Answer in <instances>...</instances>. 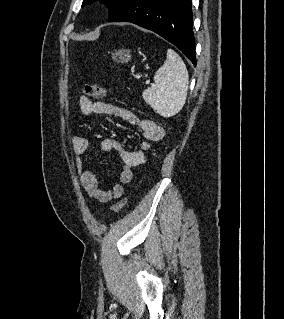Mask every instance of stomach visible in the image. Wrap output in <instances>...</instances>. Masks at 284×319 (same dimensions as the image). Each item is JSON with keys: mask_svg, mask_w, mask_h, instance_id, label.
I'll return each mask as SVG.
<instances>
[{"mask_svg": "<svg viewBox=\"0 0 284 319\" xmlns=\"http://www.w3.org/2000/svg\"><path fill=\"white\" fill-rule=\"evenodd\" d=\"M111 55L112 59L119 63H127L131 59V51L127 49H120Z\"/></svg>", "mask_w": 284, "mask_h": 319, "instance_id": "stomach-1", "label": "stomach"}]
</instances>
